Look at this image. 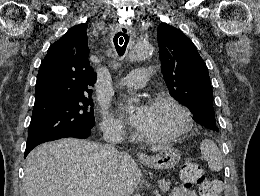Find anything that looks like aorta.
Here are the masks:
<instances>
[{
  "label": "aorta",
  "instance_id": "1",
  "mask_svg": "<svg viewBox=\"0 0 260 196\" xmlns=\"http://www.w3.org/2000/svg\"><path fill=\"white\" fill-rule=\"evenodd\" d=\"M153 51L149 43H137L129 53L130 61H139L148 57Z\"/></svg>",
  "mask_w": 260,
  "mask_h": 196
}]
</instances>
